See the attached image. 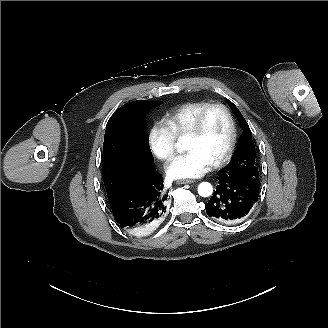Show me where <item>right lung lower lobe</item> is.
<instances>
[{
    "instance_id": "1",
    "label": "right lung lower lobe",
    "mask_w": 328,
    "mask_h": 328,
    "mask_svg": "<svg viewBox=\"0 0 328 328\" xmlns=\"http://www.w3.org/2000/svg\"><path fill=\"white\" fill-rule=\"evenodd\" d=\"M163 187L162 176L155 167L146 179L125 185L110 203L118 224L136 235L148 234L166 213L168 193Z\"/></svg>"
}]
</instances>
